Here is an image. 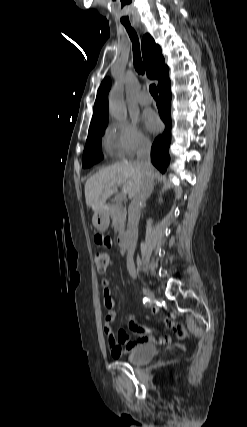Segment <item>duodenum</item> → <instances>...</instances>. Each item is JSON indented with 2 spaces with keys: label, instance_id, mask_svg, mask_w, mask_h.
Instances as JSON below:
<instances>
[{
  "label": "duodenum",
  "instance_id": "1",
  "mask_svg": "<svg viewBox=\"0 0 247 427\" xmlns=\"http://www.w3.org/2000/svg\"><path fill=\"white\" fill-rule=\"evenodd\" d=\"M117 245L120 250H125L128 246L127 238L124 234H119L117 237Z\"/></svg>",
  "mask_w": 247,
  "mask_h": 427
}]
</instances>
